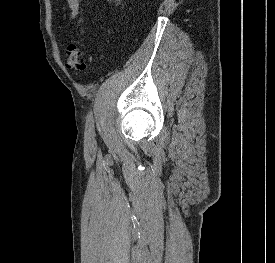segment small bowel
<instances>
[{
	"label": "small bowel",
	"mask_w": 275,
	"mask_h": 263,
	"mask_svg": "<svg viewBox=\"0 0 275 263\" xmlns=\"http://www.w3.org/2000/svg\"><path fill=\"white\" fill-rule=\"evenodd\" d=\"M68 6L71 10V18L77 19L80 23L82 21V17L80 16V2L79 0H67Z\"/></svg>",
	"instance_id": "c3829d8e"
}]
</instances>
